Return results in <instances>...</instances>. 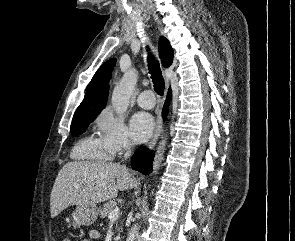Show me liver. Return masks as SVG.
<instances>
[{
    "label": "liver",
    "instance_id": "1",
    "mask_svg": "<svg viewBox=\"0 0 295 241\" xmlns=\"http://www.w3.org/2000/svg\"><path fill=\"white\" fill-rule=\"evenodd\" d=\"M138 186L139 181L119 163L68 162L59 171L51 191V217L58 216L70 205H94L113 199L118 190Z\"/></svg>",
    "mask_w": 295,
    "mask_h": 241
}]
</instances>
